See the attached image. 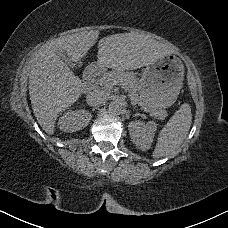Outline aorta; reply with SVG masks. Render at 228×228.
Returning a JSON list of instances; mask_svg holds the SVG:
<instances>
[{
	"label": "aorta",
	"mask_w": 228,
	"mask_h": 228,
	"mask_svg": "<svg viewBox=\"0 0 228 228\" xmlns=\"http://www.w3.org/2000/svg\"><path fill=\"white\" fill-rule=\"evenodd\" d=\"M108 110L111 114H119L122 111V104L117 101H112L109 104Z\"/></svg>",
	"instance_id": "1"
}]
</instances>
